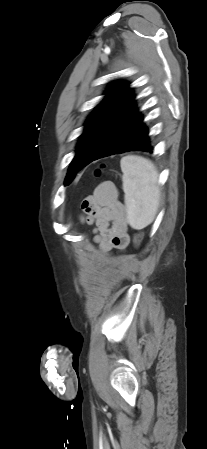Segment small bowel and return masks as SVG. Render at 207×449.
<instances>
[{"label":"small bowel","mask_w":207,"mask_h":449,"mask_svg":"<svg viewBox=\"0 0 207 449\" xmlns=\"http://www.w3.org/2000/svg\"><path fill=\"white\" fill-rule=\"evenodd\" d=\"M81 209V221L94 225L93 240L104 254L113 250L122 251L128 246L129 234L124 208L112 182L101 183L82 202Z\"/></svg>","instance_id":"1"}]
</instances>
